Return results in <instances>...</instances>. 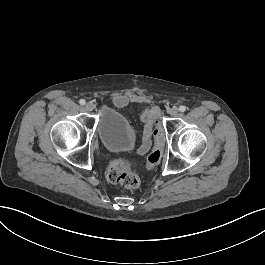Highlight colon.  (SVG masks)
Here are the masks:
<instances>
[{"label":"colon","instance_id":"colon-1","mask_svg":"<svg viewBox=\"0 0 265 265\" xmlns=\"http://www.w3.org/2000/svg\"><path fill=\"white\" fill-rule=\"evenodd\" d=\"M162 128L157 125L154 128V147L149 152L145 166L150 169L157 166L163 155ZM136 160L132 157H120L112 161L107 168V179L128 189H136L141 185L140 177L133 171Z\"/></svg>","mask_w":265,"mask_h":265}]
</instances>
